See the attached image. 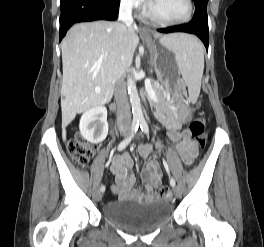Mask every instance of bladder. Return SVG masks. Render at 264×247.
<instances>
[{"label":"bladder","mask_w":264,"mask_h":247,"mask_svg":"<svg viewBox=\"0 0 264 247\" xmlns=\"http://www.w3.org/2000/svg\"><path fill=\"white\" fill-rule=\"evenodd\" d=\"M172 213V206L162 199L150 201L120 200L103 208V217L130 232L153 230L165 223Z\"/></svg>","instance_id":"1"}]
</instances>
